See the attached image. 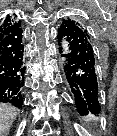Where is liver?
I'll list each match as a JSON object with an SVG mask.
<instances>
[{"label":"liver","mask_w":117,"mask_h":136,"mask_svg":"<svg viewBox=\"0 0 117 136\" xmlns=\"http://www.w3.org/2000/svg\"><path fill=\"white\" fill-rule=\"evenodd\" d=\"M15 117L16 111L13 106L0 103V135L9 131Z\"/></svg>","instance_id":"obj_1"}]
</instances>
